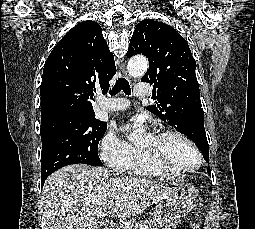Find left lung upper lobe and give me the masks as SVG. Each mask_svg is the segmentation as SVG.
Instances as JSON below:
<instances>
[{
    "instance_id": "5c2ea615",
    "label": "left lung upper lobe",
    "mask_w": 255,
    "mask_h": 229,
    "mask_svg": "<svg viewBox=\"0 0 255 229\" xmlns=\"http://www.w3.org/2000/svg\"><path fill=\"white\" fill-rule=\"evenodd\" d=\"M143 54L149 69L142 82L154 84L156 105L147 110L187 135L204 159L209 158L205 130L199 129L196 113L203 112L196 78V61L186 40L171 26L153 19L141 21L130 40L127 57Z\"/></svg>"
}]
</instances>
